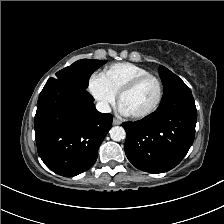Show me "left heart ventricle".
I'll list each match as a JSON object with an SVG mask.
<instances>
[{
	"mask_svg": "<svg viewBox=\"0 0 224 224\" xmlns=\"http://www.w3.org/2000/svg\"><path fill=\"white\" fill-rule=\"evenodd\" d=\"M158 86L153 79L141 82L132 91L122 96L120 104L131 114H138L148 110L156 101Z\"/></svg>",
	"mask_w": 224,
	"mask_h": 224,
	"instance_id": "1",
	"label": "left heart ventricle"
}]
</instances>
